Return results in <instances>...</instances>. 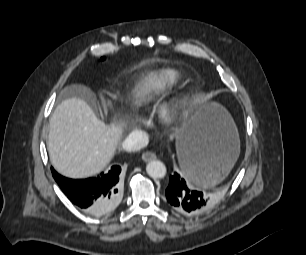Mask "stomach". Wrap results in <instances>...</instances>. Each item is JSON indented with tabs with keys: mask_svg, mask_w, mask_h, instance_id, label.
<instances>
[{
	"mask_svg": "<svg viewBox=\"0 0 306 255\" xmlns=\"http://www.w3.org/2000/svg\"><path fill=\"white\" fill-rule=\"evenodd\" d=\"M176 148L181 166L188 148L210 160V178L190 177L197 186L208 188L228 175L239 155L240 141L230 114L221 105L212 102L196 106L186 116L176 133Z\"/></svg>",
	"mask_w": 306,
	"mask_h": 255,
	"instance_id": "0dacf381",
	"label": "stomach"
}]
</instances>
